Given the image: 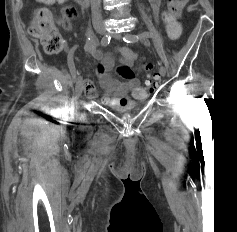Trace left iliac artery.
<instances>
[{
  "label": "left iliac artery",
  "mask_w": 237,
  "mask_h": 232,
  "mask_svg": "<svg viewBox=\"0 0 237 232\" xmlns=\"http://www.w3.org/2000/svg\"><path fill=\"white\" fill-rule=\"evenodd\" d=\"M153 34L150 32H142L140 34H127L123 40L127 43H135L143 38H152Z\"/></svg>",
  "instance_id": "left-iliac-artery-1"
}]
</instances>
